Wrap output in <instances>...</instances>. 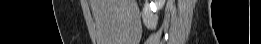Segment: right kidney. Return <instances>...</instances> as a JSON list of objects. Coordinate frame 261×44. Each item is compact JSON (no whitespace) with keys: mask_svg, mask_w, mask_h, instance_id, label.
<instances>
[{"mask_svg":"<svg viewBox=\"0 0 261 44\" xmlns=\"http://www.w3.org/2000/svg\"><path fill=\"white\" fill-rule=\"evenodd\" d=\"M165 0H158L157 3H146L142 10V20L144 25L148 29H155L158 21V16L154 14L157 9H161L164 6Z\"/></svg>","mask_w":261,"mask_h":44,"instance_id":"obj_1","label":"right kidney"}]
</instances>
